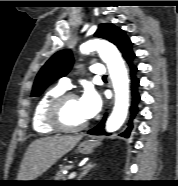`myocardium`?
Wrapping results in <instances>:
<instances>
[{
    "instance_id": "f54148a6",
    "label": "myocardium",
    "mask_w": 178,
    "mask_h": 186,
    "mask_svg": "<svg viewBox=\"0 0 178 186\" xmlns=\"http://www.w3.org/2000/svg\"><path fill=\"white\" fill-rule=\"evenodd\" d=\"M73 98H78L75 93L64 92L54 98L48 105L45 113V121L55 131L67 133L78 132L85 129L89 125L88 120L77 126H67L63 123L61 119L62 110L65 104Z\"/></svg>"
}]
</instances>
